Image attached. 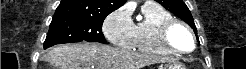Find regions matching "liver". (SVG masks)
Wrapping results in <instances>:
<instances>
[{
  "mask_svg": "<svg viewBox=\"0 0 246 69\" xmlns=\"http://www.w3.org/2000/svg\"><path fill=\"white\" fill-rule=\"evenodd\" d=\"M46 58L58 69H142L164 61L154 55L99 43L62 44L51 49Z\"/></svg>",
  "mask_w": 246,
  "mask_h": 69,
  "instance_id": "1",
  "label": "liver"
}]
</instances>
